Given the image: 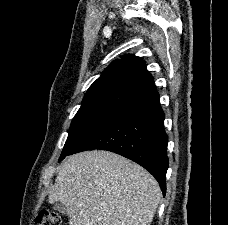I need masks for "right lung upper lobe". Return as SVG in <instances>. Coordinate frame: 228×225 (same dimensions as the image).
Segmentation results:
<instances>
[{
	"instance_id": "1",
	"label": "right lung upper lobe",
	"mask_w": 228,
	"mask_h": 225,
	"mask_svg": "<svg viewBox=\"0 0 228 225\" xmlns=\"http://www.w3.org/2000/svg\"><path fill=\"white\" fill-rule=\"evenodd\" d=\"M153 82L154 79L146 70L144 60L134 55H123L121 59L113 61L90 88L123 83L143 90Z\"/></svg>"
}]
</instances>
